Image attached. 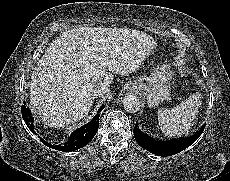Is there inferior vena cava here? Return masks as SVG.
<instances>
[{"mask_svg":"<svg viewBox=\"0 0 230 181\" xmlns=\"http://www.w3.org/2000/svg\"><path fill=\"white\" fill-rule=\"evenodd\" d=\"M109 85H105V84H100V85H94L91 89V95L93 96V98H97V97H101L103 95H105L106 93L109 92Z\"/></svg>","mask_w":230,"mask_h":181,"instance_id":"1","label":"inferior vena cava"}]
</instances>
